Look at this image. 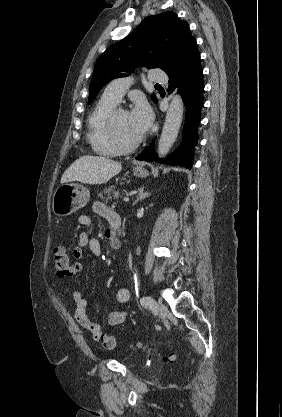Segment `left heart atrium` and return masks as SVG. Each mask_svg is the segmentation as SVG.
I'll return each instance as SVG.
<instances>
[{
	"mask_svg": "<svg viewBox=\"0 0 282 417\" xmlns=\"http://www.w3.org/2000/svg\"><path fill=\"white\" fill-rule=\"evenodd\" d=\"M133 123L139 132L143 133L151 126L152 113L150 108L140 103L135 110L131 113Z\"/></svg>",
	"mask_w": 282,
	"mask_h": 417,
	"instance_id": "obj_1",
	"label": "left heart atrium"
}]
</instances>
